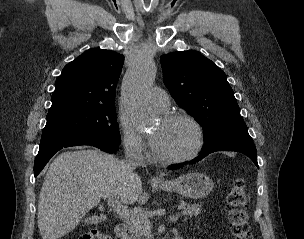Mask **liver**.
I'll return each mask as SVG.
<instances>
[{
    "instance_id": "obj_1",
    "label": "liver",
    "mask_w": 304,
    "mask_h": 239,
    "mask_svg": "<svg viewBox=\"0 0 304 239\" xmlns=\"http://www.w3.org/2000/svg\"><path fill=\"white\" fill-rule=\"evenodd\" d=\"M123 204L145 203L149 195L140 177L132 176L125 162L97 149L58 155L45 175L38 202L42 239H59L73 231L102 198Z\"/></svg>"
}]
</instances>
